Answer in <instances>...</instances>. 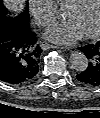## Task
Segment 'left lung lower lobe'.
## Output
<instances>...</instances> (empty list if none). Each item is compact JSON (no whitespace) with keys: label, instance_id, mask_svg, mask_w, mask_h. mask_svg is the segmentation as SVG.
I'll list each match as a JSON object with an SVG mask.
<instances>
[{"label":"left lung lower lobe","instance_id":"left-lung-lower-lobe-1","mask_svg":"<svg viewBox=\"0 0 100 118\" xmlns=\"http://www.w3.org/2000/svg\"><path fill=\"white\" fill-rule=\"evenodd\" d=\"M78 49L87 57L88 67L76 75L77 80L87 86H100V40Z\"/></svg>","mask_w":100,"mask_h":118}]
</instances>
